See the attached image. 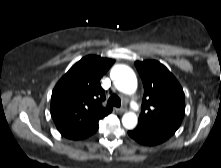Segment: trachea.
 Returning a JSON list of instances; mask_svg holds the SVG:
<instances>
[{"instance_id": "1", "label": "trachea", "mask_w": 221, "mask_h": 168, "mask_svg": "<svg viewBox=\"0 0 221 168\" xmlns=\"http://www.w3.org/2000/svg\"><path fill=\"white\" fill-rule=\"evenodd\" d=\"M108 104L115 106V107H120L121 106V100L117 95H112L109 99H108Z\"/></svg>"}]
</instances>
